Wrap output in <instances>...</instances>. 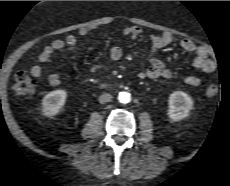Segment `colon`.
<instances>
[{"label":"colon","instance_id":"5ec220e1","mask_svg":"<svg viewBox=\"0 0 230 186\" xmlns=\"http://www.w3.org/2000/svg\"><path fill=\"white\" fill-rule=\"evenodd\" d=\"M13 93L17 97H28L35 93L36 82L26 72H18L15 75L13 83ZM219 86L215 81H211L206 86V94L208 96H214L218 93Z\"/></svg>","mask_w":230,"mask_h":186}]
</instances>
